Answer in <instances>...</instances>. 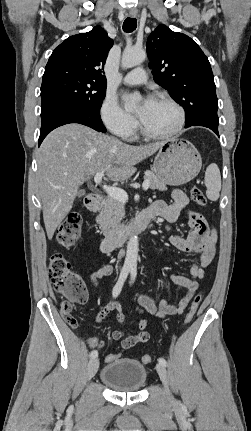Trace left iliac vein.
<instances>
[{
  "label": "left iliac vein",
  "mask_w": 251,
  "mask_h": 431,
  "mask_svg": "<svg viewBox=\"0 0 251 431\" xmlns=\"http://www.w3.org/2000/svg\"><path fill=\"white\" fill-rule=\"evenodd\" d=\"M156 370H157L159 377H160V379L164 385V388H165V391H166L168 397L171 398V393H170L169 385H168L167 370H166L165 366L159 363L156 365Z\"/></svg>",
  "instance_id": "4c4485c4"
}]
</instances>
